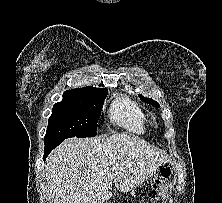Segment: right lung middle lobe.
I'll return each instance as SVG.
<instances>
[{
	"instance_id": "dd1d6c3e",
	"label": "right lung middle lobe",
	"mask_w": 222,
	"mask_h": 203,
	"mask_svg": "<svg viewBox=\"0 0 222 203\" xmlns=\"http://www.w3.org/2000/svg\"><path fill=\"white\" fill-rule=\"evenodd\" d=\"M106 92H64L53 106L44 143H61L70 137L96 136Z\"/></svg>"
}]
</instances>
